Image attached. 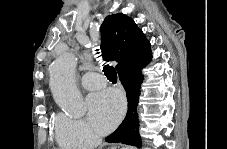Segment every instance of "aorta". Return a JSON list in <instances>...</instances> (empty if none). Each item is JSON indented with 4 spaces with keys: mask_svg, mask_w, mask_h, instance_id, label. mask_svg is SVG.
<instances>
[{
    "mask_svg": "<svg viewBox=\"0 0 227 149\" xmlns=\"http://www.w3.org/2000/svg\"><path fill=\"white\" fill-rule=\"evenodd\" d=\"M75 57L64 54L50 66V87L55 102L68 115L81 117L85 113L83 97L75 83Z\"/></svg>",
    "mask_w": 227,
    "mask_h": 149,
    "instance_id": "762f6f07",
    "label": "aorta"
}]
</instances>
